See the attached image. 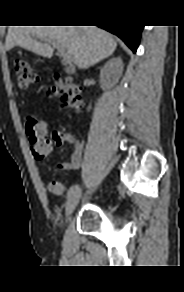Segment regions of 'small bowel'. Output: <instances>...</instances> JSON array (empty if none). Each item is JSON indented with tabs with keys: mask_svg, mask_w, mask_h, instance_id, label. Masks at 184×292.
Segmentation results:
<instances>
[{
	"mask_svg": "<svg viewBox=\"0 0 184 292\" xmlns=\"http://www.w3.org/2000/svg\"><path fill=\"white\" fill-rule=\"evenodd\" d=\"M52 140L59 146L67 144L72 148L71 160L69 162L62 163L58 166L61 171H69L79 169L83 161V143L76 139L72 134L61 131H54L52 133ZM65 190V186L62 185V194Z\"/></svg>",
	"mask_w": 184,
	"mask_h": 292,
	"instance_id": "1",
	"label": "small bowel"
}]
</instances>
